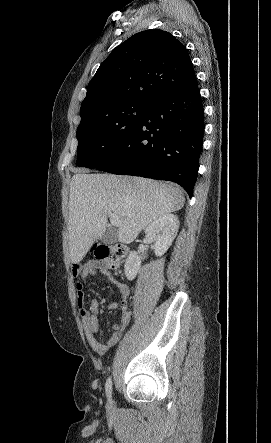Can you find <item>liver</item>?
Instances as JSON below:
<instances>
[{"label": "liver", "mask_w": 271, "mask_h": 443, "mask_svg": "<svg viewBox=\"0 0 271 443\" xmlns=\"http://www.w3.org/2000/svg\"><path fill=\"white\" fill-rule=\"evenodd\" d=\"M69 192L67 227L72 263H79L94 241L104 235L110 214L120 220L118 241L131 243L146 225L181 210L185 202L181 190L170 184L112 174L78 172Z\"/></svg>", "instance_id": "6515ba94"}]
</instances>
